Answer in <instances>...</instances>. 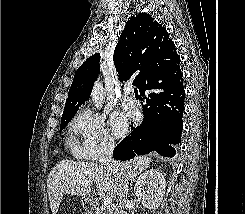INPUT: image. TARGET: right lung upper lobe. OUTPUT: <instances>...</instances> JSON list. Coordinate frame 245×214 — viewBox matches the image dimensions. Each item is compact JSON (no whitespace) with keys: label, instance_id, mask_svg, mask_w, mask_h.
<instances>
[{"label":"right lung upper lobe","instance_id":"right-lung-upper-lobe-1","mask_svg":"<svg viewBox=\"0 0 245 214\" xmlns=\"http://www.w3.org/2000/svg\"><path fill=\"white\" fill-rule=\"evenodd\" d=\"M99 59L100 54L89 57L76 71L63 114L76 113L79 106L88 100L100 73ZM113 60L120 81L133 78L139 92L153 69L166 65L180 69V58L168 32L146 13L132 16L126 22Z\"/></svg>","mask_w":245,"mask_h":214}]
</instances>
